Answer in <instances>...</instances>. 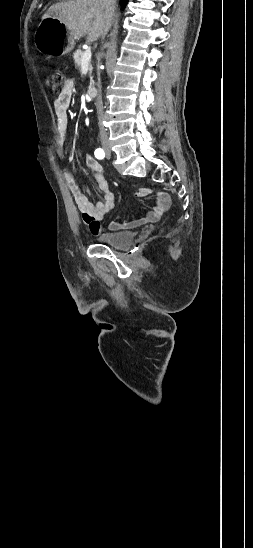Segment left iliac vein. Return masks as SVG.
I'll return each instance as SVG.
<instances>
[{
  "label": "left iliac vein",
  "instance_id": "4c4485c4",
  "mask_svg": "<svg viewBox=\"0 0 253 548\" xmlns=\"http://www.w3.org/2000/svg\"><path fill=\"white\" fill-rule=\"evenodd\" d=\"M109 157H110V153H109V152H107V158H109Z\"/></svg>",
  "mask_w": 253,
  "mask_h": 548
}]
</instances>
